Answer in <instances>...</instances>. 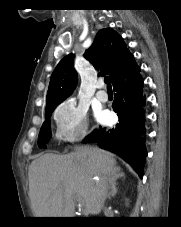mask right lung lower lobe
Wrapping results in <instances>:
<instances>
[{"mask_svg": "<svg viewBox=\"0 0 181 227\" xmlns=\"http://www.w3.org/2000/svg\"><path fill=\"white\" fill-rule=\"evenodd\" d=\"M115 94L113 110L119 117L115 128L105 130L100 127L85 138V142L98 143L101 148L112 151L127 161L143 177V167L147 156L144 127L145 96L142 93L140 68L134 57L129 55L116 78L112 81Z\"/></svg>", "mask_w": 181, "mask_h": 227, "instance_id": "obj_1", "label": "right lung lower lobe"}]
</instances>
